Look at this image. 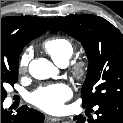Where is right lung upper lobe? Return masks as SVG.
Instances as JSON below:
<instances>
[{
	"instance_id": "obj_1",
	"label": "right lung upper lobe",
	"mask_w": 123,
	"mask_h": 123,
	"mask_svg": "<svg viewBox=\"0 0 123 123\" xmlns=\"http://www.w3.org/2000/svg\"><path fill=\"white\" fill-rule=\"evenodd\" d=\"M56 18L11 16L1 18V58L13 56L31 40L50 29Z\"/></svg>"
}]
</instances>
